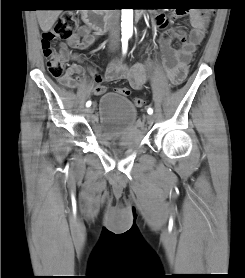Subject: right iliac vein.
<instances>
[{"label": "right iliac vein", "instance_id": "1", "mask_svg": "<svg viewBox=\"0 0 245 278\" xmlns=\"http://www.w3.org/2000/svg\"><path fill=\"white\" fill-rule=\"evenodd\" d=\"M86 113L87 115H91L93 113V108L92 107L87 108Z\"/></svg>", "mask_w": 245, "mask_h": 278}]
</instances>
